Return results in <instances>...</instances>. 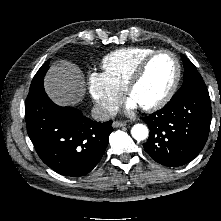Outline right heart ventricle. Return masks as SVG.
<instances>
[{"mask_svg":"<svg viewBox=\"0 0 221 221\" xmlns=\"http://www.w3.org/2000/svg\"><path fill=\"white\" fill-rule=\"evenodd\" d=\"M155 49L150 47L121 48L107 54L102 68L109 79L123 91L140 62Z\"/></svg>","mask_w":221,"mask_h":221,"instance_id":"right-heart-ventricle-1","label":"right heart ventricle"}]
</instances>
